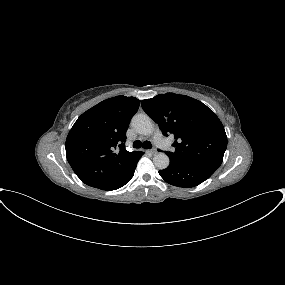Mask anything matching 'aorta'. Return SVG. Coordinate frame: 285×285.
<instances>
[{"instance_id": "obj_1", "label": "aorta", "mask_w": 285, "mask_h": 285, "mask_svg": "<svg viewBox=\"0 0 285 285\" xmlns=\"http://www.w3.org/2000/svg\"><path fill=\"white\" fill-rule=\"evenodd\" d=\"M134 130L142 135H150L154 131L151 118L146 114H136L131 120ZM153 163L158 169H166L169 166V157L164 153H158L153 157Z\"/></svg>"}]
</instances>
